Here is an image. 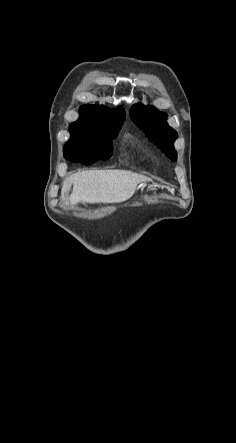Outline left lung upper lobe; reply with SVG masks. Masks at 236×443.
Listing matches in <instances>:
<instances>
[{"label":"left lung upper lobe","mask_w":236,"mask_h":443,"mask_svg":"<svg viewBox=\"0 0 236 443\" xmlns=\"http://www.w3.org/2000/svg\"><path fill=\"white\" fill-rule=\"evenodd\" d=\"M130 117L170 160H177L174 141L178 135L168 125L165 113L158 111L152 106H144L138 103L131 107Z\"/></svg>","instance_id":"left-lung-upper-lobe-1"}]
</instances>
